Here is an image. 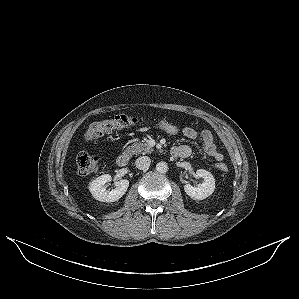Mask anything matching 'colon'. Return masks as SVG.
I'll list each match as a JSON object with an SVG mask.
<instances>
[{
    "label": "colon",
    "instance_id": "colon-1",
    "mask_svg": "<svg viewBox=\"0 0 299 299\" xmlns=\"http://www.w3.org/2000/svg\"><path fill=\"white\" fill-rule=\"evenodd\" d=\"M138 123L139 120L137 118L120 114L111 119L91 123L84 134V139L87 142H91L105 133L113 130L129 128ZM156 125L161 131L171 136H177L181 133L179 126L166 120H159L156 122ZM98 163V158L87 152H81L77 155V171L82 176H88L96 173L98 170ZM217 168L223 172L227 171V166L224 163H218Z\"/></svg>",
    "mask_w": 299,
    "mask_h": 299
}]
</instances>
